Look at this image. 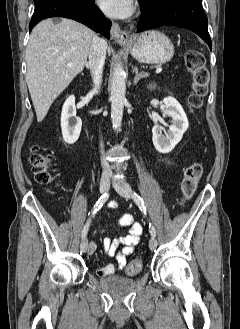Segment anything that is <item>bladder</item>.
<instances>
[{
    "instance_id": "bladder-1",
    "label": "bladder",
    "mask_w": 240,
    "mask_h": 329,
    "mask_svg": "<svg viewBox=\"0 0 240 329\" xmlns=\"http://www.w3.org/2000/svg\"><path fill=\"white\" fill-rule=\"evenodd\" d=\"M99 284L103 289H106L109 292L123 293L135 286L136 279L132 277L112 275L101 278Z\"/></svg>"
}]
</instances>
